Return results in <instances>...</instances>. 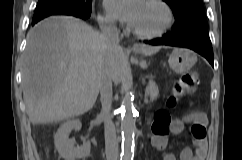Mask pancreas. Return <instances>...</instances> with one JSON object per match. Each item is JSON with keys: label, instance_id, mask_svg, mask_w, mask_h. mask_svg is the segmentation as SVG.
Masks as SVG:
<instances>
[{"label": "pancreas", "instance_id": "1", "mask_svg": "<svg viewBox=\"0 0 242 160\" xmlns=\"http://www.w3.org/2000/svg\"><path fill=\"white\" fill-rule=\"evenodd\" d=\"M146 93H147V96L150 97L151 101H154L158 98L159 90L155 82L149 81V84L146 87Z\"/></svg>", "mask_w": 242, "mask_h": 160}]
</instances>
